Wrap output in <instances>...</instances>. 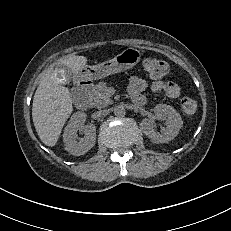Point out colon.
<instances>
[{"instance_id": "obj_1", "label": "colon", "mask_w": 231, "mask_h": 231, "mask_svg": "<svg viewBox=\"0 0 231 231\" xmlns=\"http://www.w3.org/2000/svg\"><path fill=\"white\" fill-rule=\"evenodd\" d=\"M143 69L150 78L160 79L168 73L169 66L163 60L147 57L143 60ZM181 108L186 115L192 116L197 111V103L190 97H183L181 99Z\"/></svg>"}]
</instances>
